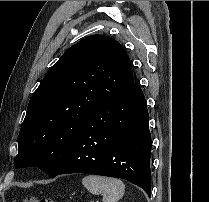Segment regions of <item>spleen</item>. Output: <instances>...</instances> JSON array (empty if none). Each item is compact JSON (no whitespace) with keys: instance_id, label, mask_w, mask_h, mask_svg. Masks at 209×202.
<instances>
[{"instance_id":"spleen-1","label":"spleen","mask_w":209,"mask_h":202,"mask_svg":"<svg viewBox=\"0 0 209 202\" xmlns=\"http://www.w3.org/2000/svg\"><path fill=\"white\" fill-rule=\"evenodd\" d=\"M83 186L92 194H102L103 202H117L125 192V185L120 179L96 175H87L82 179Z\"/></svg>"}]
</instances>
